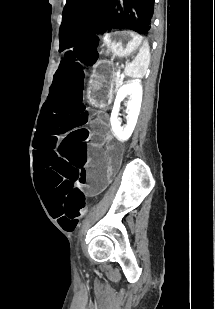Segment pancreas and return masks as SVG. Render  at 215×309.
Returning a JSON list of instances; mask_svg holds the SVG:
<instances>
[{
    "label": "pancreas",
    "mask_w": 215,
    "mask_h": 309,
    "mask_svg": "<svg viewBox=\"0 0 215 309\" xmlns=\"http://www.w3.org/2000/svg\"><path fill=\"white\" fill-rule=\"evenodd\" d=\"M120 80H121V78H119V76H118V78H115V84H116V86H119Z\"/></svg>",
    "instance_id": "obj_1"
}]
</instances>
